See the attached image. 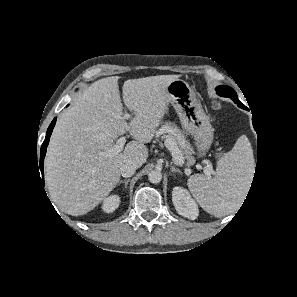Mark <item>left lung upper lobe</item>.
Listing matches in <instances>:
<instances>
[{"label":"left lung upper lobe","instance_id":"obj_1","mask_svg":"<svg viewBox=\"0 0 297 297\" xmlns=\"http://www.w3.org/2000/svg\"><path fill=\"white\" fill-rule=\"evenodd\" d=\"M216 93L219 96L222 97H229L230 99H232L235 103L240 102L238 97H237V93L234 91V89H232L231 87L228 86H218L216 88ZM241 103V102H240Z\"/></svg>","mask_w":297,"mask_h":297}]
</instances>
